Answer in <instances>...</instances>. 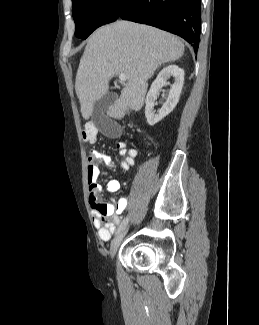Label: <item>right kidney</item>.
Here are the masks:
<instances>
[{
    "mask_svg": "<svg viewBox=\"0 0 259 325\" xmlns=\"http://www.w3.org/2000/svg\"><path fill=\"white\" fill-rule=\"evenodd\" d=\"M174 78L167 101L162 108L155 113L154 106L157 93L167 83L170 77ZM184 83V70L177 65H169L163 68L158 74L145 99V116L149 125L153 126L173 111L177 105Z\"/></svg>",
    "mask_w": 259,
    "mask_h": 325,
    "instance_id": "right-kidney-1",
    "label": "right kidney"
}]
</instances>
